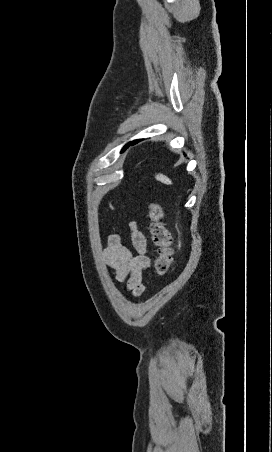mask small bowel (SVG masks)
Instances as JSON below:
<instances>
[{
    "label": "small bowel",
    "mask_w": 272,
    "mask_h": 452,
    "mask_svg": "<svg viewBox=\"0 0 272 452\" xmlns=\"http://www.w3.org/2000/svg\"><path fill=\"white\" fill-rule=\"evenodd\" d=\"M131 240L136 254L123 244L119 234L113 233L107 239L102 256L105 265L117 282H126V290L134 296H139L144 290L143 278L150 266V258L146 250V239L131 222Z\"/></svg>",
    "instance_id": "1"
}]
</instances>
